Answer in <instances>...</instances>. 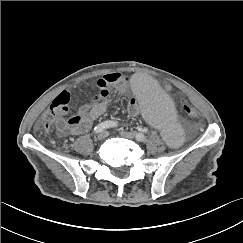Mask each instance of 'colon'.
Masks as SVG:
<instances>
[{
	"mask_svg": "<svg viewBox=\"0 0 243 243\" xmlns=\"http://www.w3.org/2000/svg\"><path fill=\"white\" fill-rule=\"evenodd\" d=\"M70 96L67 92L63 91L59 93L53 100L50 108L45 112L41 126L45 131H49L56 120L59 113L68 111V105ZM181 102L183 104V110L191 118H199L200 114L198 110L190 103V99L187 96L182 97Z\"/></svg>",
	"mask_w": 243,
	"mask_h": 243,
	"instance_id": "5ec220e1",
	"label": "colon"
}]
</instances>
